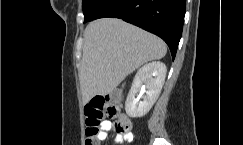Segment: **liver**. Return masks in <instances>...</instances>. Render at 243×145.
<instances>
[{
  "mask_svg": "<svg viewBox=\"0 0 243 145\" xmlns=\"http://www.w3.org/2000/svg\"><path fill=\"white\" fill-rule=\"evenodd\" d=\"M167 47L159 37L120 19L102 18L86 27L79 78L83 103L111 93L143 64L159 60Z\"/></svg>",
  "mask_w": 243,
  "mask_h": 145,
  "instance_id": "liver-1",
  "label": "liver"
}]
</instances>
